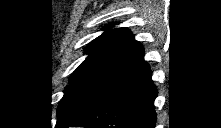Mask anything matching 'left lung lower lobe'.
Segmentation results:
<instances>
[{"label": "left lung lower lobe", "instance_id": "obj_1", "mask_svg": "<svg viewBox=\"0 0 221 128\" xmlns=\"http://www.w3.org/2000/svg\"><path fill=\"white\" fill-rule=\"evenodd\" d=\"M143 61L98 100L63 124V128H154L157 89Z\"/></svg>", "mask_w": 221, "mask_h": 128}]
</instances>
